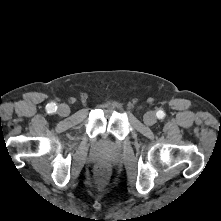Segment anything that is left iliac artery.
Segmentation results:
<instances>
[{
    "label": "left iliac artery",
    "mask_w": 221,
    "mask_h": 221,
    "mask_svg": "<svg viewBox=\"0 0 221 221\" xmlns=\"http://www.w3.org/2000/svg\"><path fill=\"white\" fill-rule=\"evenodd\" d=\"M156 116H157L159 119H162V118L165 116V113H164L162 110H159V111L156 113Z\"/></svg>",
    "instance_id": "1"
}]
</instances>
